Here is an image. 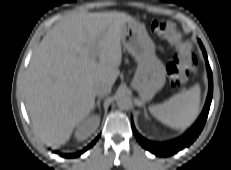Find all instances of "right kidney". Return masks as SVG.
<instances>
[{
  "mask_svg": "<svg viewBox=\"0 0 231 170\" xmlns=\"http://www.w3.org/2000/svg\"><path fill=\"white\" fill-rule=\"evenodd\" d=\"M99 120L97 117H89L82 121L75 131V138L77 140L86 139L97 128Z\"/></svg>",
  "mask_w": 231,
  "mask_h": 170,
  "instance_id": "ca27d5eb",
  "label": "right kidney"
}]
</instances>
